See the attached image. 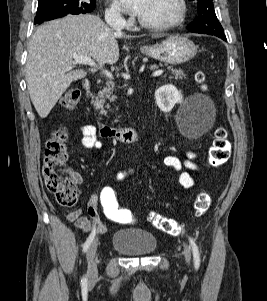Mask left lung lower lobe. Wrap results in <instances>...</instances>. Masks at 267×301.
I'll return each instance as SVG.
<instances>
[{"instance_id":"1","label":"left lung lower lobe","mask_w":267,"mask_h":301,"mask_svg":"<svg viewBox=\"0 0 267 301\" xmlns=\"http://www.w3.org/2000/svg\"><path fill=\"white\" fill-rule=\"evenodd\" d=\"M218 36L219 38L223 39L224 41H227L226 36L225 35H215Z\"/></svg>"}]
</instances>
